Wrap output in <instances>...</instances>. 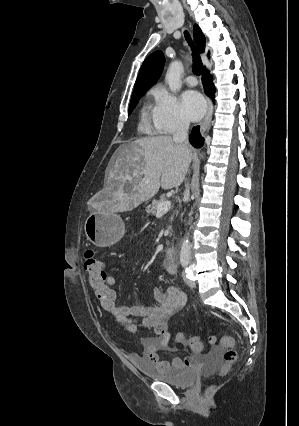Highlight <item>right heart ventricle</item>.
<instances>
[{
	"label": "right heart ventricle",
	"mask_w": 299,
	"mask_h": 426,
	"mask_svg": "<svg viewBox=\"0 0 299 426\" xmlns=\"http://www.w3.org/2000/svg\"><path fill=\"white\" fill-rule=\"evenodd\" d=\"M152 115H153V111H150L149 106L145 105L141 110V122H140L141 130L148 133H154L155 130H157L156 127L153 126L154 123H153Z\"/></svg>",
	"instance_id": "e07e8e85"
}]
</instances>
